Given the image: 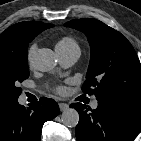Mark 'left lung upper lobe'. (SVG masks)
I'll use <instances>...</instances> for the list:
<instances>
[{"label":"left lung upper lobe","mask_w":141,"mask_h":141,"mask_svg":"<svg viewBox=\"0 0 141 141\" xmlns=\"http://www.w3.org/2000/svg\"><path fill=\"white\" fill-rule=\"evenodd\" d=\"M85 33L91 59L84 93L98 101L115 100L141 105V64L130 42L101 21L82 18L64 24Z\"/></svg>","instance_id":"5c2ea615"}]
</instances>
